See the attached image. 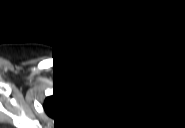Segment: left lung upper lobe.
Returning <instances> with one entry per match:
<instances>
[{
  "label": "left lung upper lobe",
  "mask_w": 185,
  "mask_h": 128,
  "mask_svg": "<svg viewBox=\"0 0 185 128\" xmlns=\"http://www.w3.org/2000/svg\"><path fill=\"white\" fill-rule=\"evenodd\" d=\"M127 112H128V110H127L126 106H121L118 109L119 115H125Z\"/></svg>",
  "instance_id": "5c2ea615"
}]
</instances>
